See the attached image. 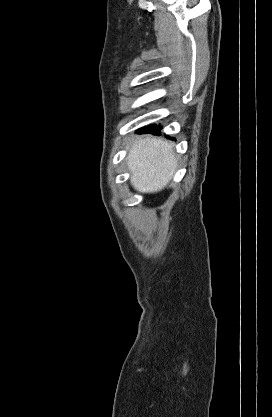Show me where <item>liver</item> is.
<instances>
[{"instance_id":"6515ba94","label":"liver","mask_w":272,"mask_h":417,"mask_svg":"<svg viewBox=\"0 0 272 417\" xmlns=\"http://www.w3.org/2000/svg\"><path fill=\"white\" fill-rule=\"evenodd\" d=\"M130 181L140 193L162 190L177 168L173 145L161 138L147 136L133 142L126 158Z\"/></svg>"}]
</instances>
